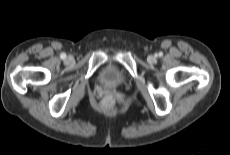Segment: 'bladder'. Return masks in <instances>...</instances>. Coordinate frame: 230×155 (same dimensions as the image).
<instances>
[{
	"mask_svg": "<svg viewBox=\"0 0 230 155\" xmlns=\"http://www.w3.org/2000/svg\"><path fill=\"white\" fill-rule=\"evenodd\" d=\"M100 79L104 85L111 87L124 86L128 83L127 74L112 63H109L102 68Z\"/></svg>",
	"mask_w": 230,
	"mask_h": 155,
	"instance_id": "31cf9c89",
	"label": "bladder"
}]
</instances>
